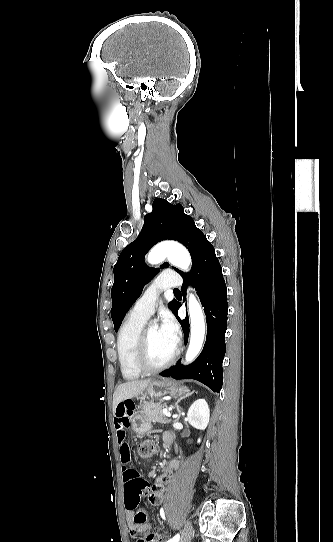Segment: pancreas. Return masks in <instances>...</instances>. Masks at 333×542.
<instances>
[{
  "mask_svg": "<svg viewBox=\"0 0 333 542\" xmlns=\"http://www.w3.org/2000/svg\"><path fill=\"white\" fill-rule=\"evenodd\" d=\"M165 402V400H163ZM163 402H144L141 412H139V418H142L144 422H160V424H170L171 420L165 416L162 412V408H167V404Z\"/></svg>",
  "mask_w": 333,
  "mask_h": 542,
  "instance_id": "cf45deb5",
  "label": "pancreas"
}]
</instances>
